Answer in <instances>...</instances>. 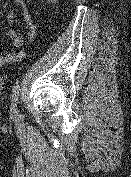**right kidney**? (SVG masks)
<instances>
[{
    "label": "right kidney",
    "instance_id": "obj_1",
    "mask_svg": "<svg viewBox=\"0 0 131 177\" xmlns=\"http://www.w3.org/2000/svg\"><path fill=\"white\" fill-rule=\"evenodd\" d=\"M47 1L54 3V2H56V1H58V0H47Z\"/></svg>",
    "mask_w": 131,
    "mask_h": 177
}]
</instances>
